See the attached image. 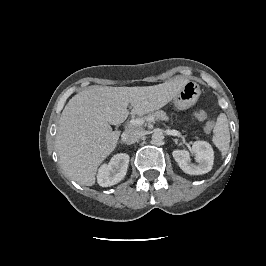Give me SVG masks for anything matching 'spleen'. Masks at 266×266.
Returning <instances> with one entry per match:
<instances>
[{
    "label": "spleen",
    "instance_id": "spleen-1",
    "mask_svg": "<svg viewBox=\"0 0 266 266\" xmlns=\"http://www.w3.org/2000/svg\"><path fill=\"white\" fill-rule=\"evenodd\" d=\"M213 133L214 135L212 141L214 145L221 151L222 156L224 157L227 154L230 146L228 120L224 113H221L218 116Z\"/></svg>",
    "mask_w": 266,
    "mask_h": 266
}]
</instances>
